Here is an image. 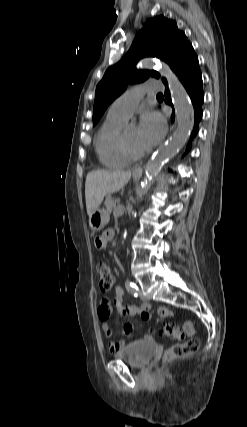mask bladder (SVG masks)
<instances>
[{
    "label": "bladder",
    "instance_id": "31cf9c89",
    "mask_svg": "<svg viewBox=\"0 0 247 427\" xmlns=\"http://www.w3.org/2000/svg\"><path fill=\"white\" fill-rule=\"evenodd\" d=\"M157 352L155 343L147 341L133 342L114 353V357L127 362L135 368L146 366Z\"/></svg>",
    "mask_w": 247,
    "mask_h": 427
}]
</instances>
